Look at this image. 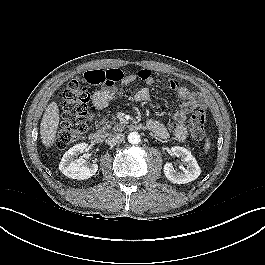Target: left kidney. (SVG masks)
<instances>
[{"label": "left kidney", "mask_w": 265, "mask_h": 265, "mask_svg": "<svg viewBox=\"0 0 265 265\" xmlns=\"http://www.w3.org/2000/svg\"><path fill=\"white\" fill-rule=\"evenodd\" d=\"M172 154L176 157H180L186 162L187 167H181V172L174 170L171 163L164 165V174L166 178L176 184H185L197 179L200 175V167L196 159L192 156L191 152L183 147L174 146L171 148Z\"/></svg>", "instance_id": "left-kidney-1"}]
</instances>
